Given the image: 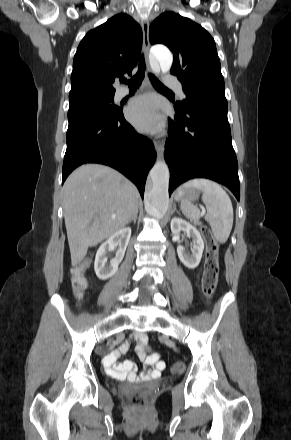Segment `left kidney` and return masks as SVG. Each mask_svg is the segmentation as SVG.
Wrapping results in <instances>:
<instances>
[{
    "label": "left kidney",
    "instance_id": "5707ae66",
    "mask_svg": "<svg viewBox=\"0 0 291 440\" xmlns=\"http://www.w3.org/2000/svg\"><path fill=\"white\" fill-rule=\"evenodd\" d=\"M171 231L173 234L184 231L187 237L192 239L191 253L187 252L182 245H179L177 247V254L180 261L187 268H196L201 261L204 250V242L197 228L181 218L174 217L171 220Z\"/></svg>",
    "mask_w": 291,
    "mask_h": 440
}]
</instances>
